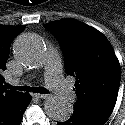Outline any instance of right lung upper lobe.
<instances>
[{
    "mask_svg": "<svg viewBox=\"0 0 125 125\" xmlns=\"http://www.w3.org/2000/svg\"><path fill=\"white\" fill-rule=\"evenodd\" d=\"M25 27L26 26L23 25H0V104L20 93L14 90H8L7 84H5V79L1 74L6 69V62L9 57L10 46L13 39L21 33Z\"/></svg>",
    "mask_w": 125,
    "mask_h": 125,
    "instance_id": "cb5924a9",
    "label": "right lung upper lobe"
}]
</instances>
